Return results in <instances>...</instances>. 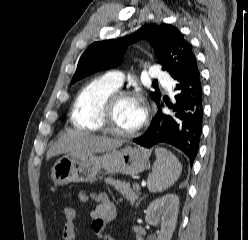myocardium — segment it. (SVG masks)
<instances>
[{"mask_svg":"<svg viewBox=\"0 0 248 240\" xmlns=\"http://www.w3.org/2000/svg\"><path fill=\"white\" fill-rule=\"evenodd\" d=\"M131 97H135V94L132 91L116 90L105 100L100 109L98 118L99 126L104 132L120 137H132L140 131V126H137L134 130L131 131H120L116 129L111 122V112L117 101L122 98Z\"/></svg>","mask_w":248,"mask_h":240,"instance_id":"myocardium-1","label":"myocardium"}]
</instances>
